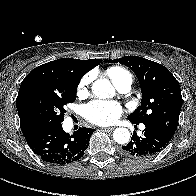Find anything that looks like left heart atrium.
Returning <instances> with one entry per match:
<instances>
[{
  "label": "left heart atrium",
  "mask_w": 196,
  "mask_h": 196,
  "mask_svg": "<svg viewBox=\"0 0 196 196\" xmlns=\"http://www.w3.org/2000/svg\"><path fill=\"white\" fill-rule=\"evenodd\" d=\"M83 113L94 124L109 125L120 117L122 107L116 101L95 100L84 106Z\"/></svg>",
  "instance_id": "left-heart-atrium-1"
}]
</instances>
